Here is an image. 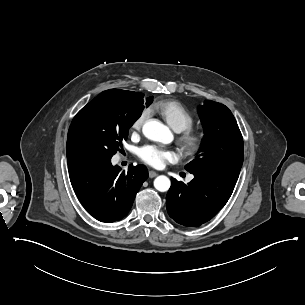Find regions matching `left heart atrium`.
I'll return each mask as SVG.
<instances>
[{"instance_id":"left-heart-atrium-1","label":"left heart atrium","mask_w":305,"mask_h":305,"mask_svg":"<svg viewBox=\"0 0 305 305\" xmlns=\"http://www.w3.org/2000/svg\"><path fill=\"white\" fill-rule=\"evenodd\" d=\"M137 155L143 162L153 167H160L167 161L173 162L177 159L175 150L156 144H145L139 147Z\"/></svg>"}]
</instances>
